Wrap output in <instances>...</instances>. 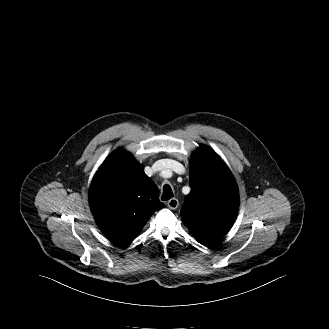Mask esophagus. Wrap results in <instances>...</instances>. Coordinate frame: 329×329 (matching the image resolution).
<instances>
[{
	"mask_svg": "<svg viewBox=\"0 0 329 329\" xmlns=\"http://www.w3.org/2000/svg\"><path fill=\"white\" fill-rule=\"evenodd\" d=\"M167 206L172 209L175 210L178 208L179 206V201L176 198H172L167 202Z\"/></svg>",
	"mask_w": 329,
	"mask_h": 329,
	"instance_id": "1",
	"label": "esophagus"
}]
</instances>
